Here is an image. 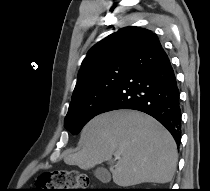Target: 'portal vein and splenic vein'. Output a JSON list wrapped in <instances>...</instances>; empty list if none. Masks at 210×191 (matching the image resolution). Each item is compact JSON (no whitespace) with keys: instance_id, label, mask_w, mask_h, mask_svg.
Segmentation results:
<instances>
[{"instance_id":"1","label":"portal vein and splenic vein","mask_w":210,"mask_h":191,"mask_svg":"<svg viewBox=\"0 0 210 191\" xmlns=\"http://www.w3.org/2000/svg\"><path fill=\"white\" fill-rule=\"evenodd\" d=\"M115 158L119 159L120 158V154L119 153H115Z\"/></svg>"}]
</instances>
